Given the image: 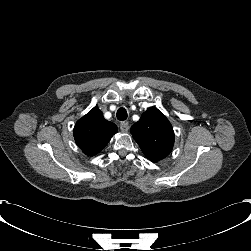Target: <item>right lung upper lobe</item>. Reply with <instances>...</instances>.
<instances>
[{"mask_svg":"<svg viewBox=\"0 0 251 251\" xmlns=\"http://www.w3.org/2000/svg\"><path fill=\"white\" fill-rule=\"evenodd\" d=\"M117 126L107 121L97 107L79 119L73 133L78 147L88 156L99 153L117 133Z\"/></svg>","mask_w":251,"mask_h":251,"instance_id":"1","label":"right lung upper lobe"}]
</instances>
